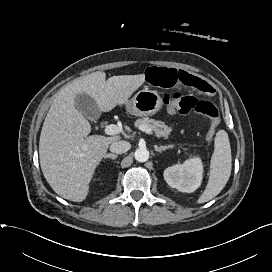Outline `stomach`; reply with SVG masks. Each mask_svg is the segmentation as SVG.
Here are the masks:
<instances>
[{
  "label": "stomach",
  "mask_w": 272,
  "mask_h": 272,
  "mask_svg": "<svg viewBox=\"0 0 272 272\" xmlns=\"http://www.w3.org/2000/svg\"><path fill=\"white\" fill-rule=\"evenodd\" d=\"M125 105L127 111L132 115L150 116L162 108L163 102L156 91L145 88L138 91Z\"/></svg>",
  "instance_id": "1"
}]
</instances>
